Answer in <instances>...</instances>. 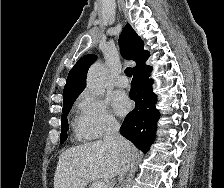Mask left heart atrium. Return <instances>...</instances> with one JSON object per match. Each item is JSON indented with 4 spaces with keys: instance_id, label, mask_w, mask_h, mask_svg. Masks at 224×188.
I'll use <instances>...</instances> for the list:
<instances>
[{
    "instance_id": "1",
    "label": "left heart atrium",
    "mask_w": 224,
    "mask_h": 188,
    "mask_svg": "<svg viewBox=\"0 0 224 188\" xmlns=\"http://www.w3.org/2000/svg\"><path fill=\"white\" fill-rule=\"evenodd\" d=\"M113 108L117 114L123 116L131 109V102L124 93H117L113 97Z\"/></svg>"
}]
</instances>
